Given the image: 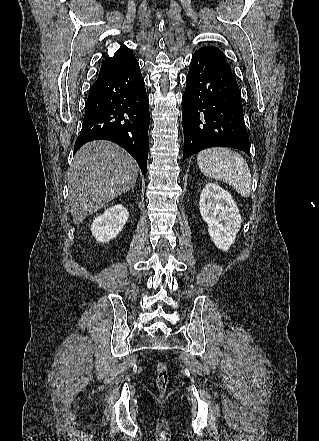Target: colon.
Returning <instances> with one entry per match:
<instances>
[{"instance_id": "5ec220e1", "label": "colon", "mask_w": 319, "mask_h": 441, "mask_svg": "<svg viewBox=\"0 0 319 441\" xmlns=\"http://www.w3.org/2000/svg\"><path fill=\"white\" fill-rule=\"evenodd\" d=\"M157 381L161 387H165L168 382V369L164 362L157 364Z\"/></svg>"}]
</instances>
